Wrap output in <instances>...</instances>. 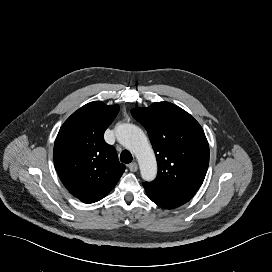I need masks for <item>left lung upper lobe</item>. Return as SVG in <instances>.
<instances>
[{
    "label": "left lung upper lobe",
    "mask_w": 272,
    "mask_h": 272,
    "mask_svg": "<svg viewBox=\"0 0 272 272\" xmlns=\"http://www.w3.org/2000/svg\"><path fill=\"white\" fill-rule=\"evenodd\" d=\"M131 113L146 128L156 154L158 174L153 183L195 194L209 164V145L200 124L169 102L134 108Z\"/></svg>",
    "instance_id": "left-lung-upper-lobe-1"
}]
</instances>
